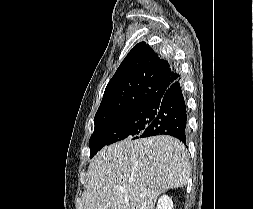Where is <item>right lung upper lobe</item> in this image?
I'll list each match as a JSON object with an SVG mask.
<instances>
[{
	"mask_svg": "<svg viewBox=\"0 0 253 209\" xmlns=\"http://www.w3.org/2000/svg\"><path fill=\"white\" fill-rule=\"evenodd\" d=\"M178 78L168 61L160 59L145 42L138 43L109 81L94 121L152 105Z\"/></svg>",
	"mask_w": 253,
	"mask_h": 209,
	"instance_id": "1",
	"label": "right lung upper lobe"
}]
</instances>
